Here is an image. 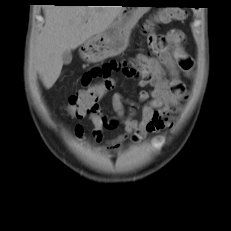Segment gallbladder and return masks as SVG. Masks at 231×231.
<instances>
[{
	"instance_id": "obj_1",
	"label": "gallbladder",
	"mask_w": 231,
	"mask_h": 231,
	"mask_svg": "<svg viewBox=\"0 0 231 231\" xmlns=\"http://www.w3.org/2000/svg\"><path fill=\"white\" fill-rule=\"evenodd\" d=\"M62 59L64 65H69L72 61V54L70 51H65L62 55Z\"/></svg>"
}]
</instances>
